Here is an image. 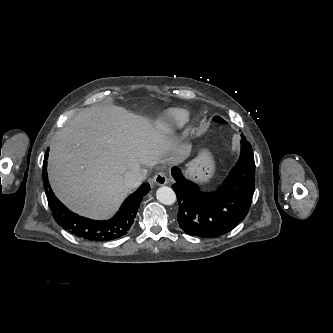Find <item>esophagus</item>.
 Returning <instances> with one entry per match:
<instances>
[{"label":"esophagus","instance_id":"obj_1","mask_svg":"<svg viewBox=\"0 0 333 333\" xmlns=\"http://www.w3.org/2000/svg\"><path fill=\"white\" fill-rule=\"evenodd\" d=\"M154 182L157 185H165V184H167L168 183V179H167V176H166L165 172H163V171L158 172L154 176Z\"/></svg>","mask_w":333,"mask_h":333}]
</instances>
